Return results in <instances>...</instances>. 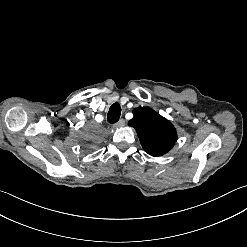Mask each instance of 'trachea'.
Segmentation results:
<instances>
[{"label": "trachea", "mask_w": 247, "mask_h": 247, "mask_svg": "<svg viewBox=\"0 0 247 247\" xmlns=\"http://www.w3.org/2000/svg\"><path fill=\"white\" fill-rule=\"evenodd\" d=\"M121 115V107L119 103H114L108 112L107 120L109 123H116Z\"/></svg>", "instance_id": "trachea-1"}]
</instances>
